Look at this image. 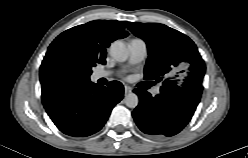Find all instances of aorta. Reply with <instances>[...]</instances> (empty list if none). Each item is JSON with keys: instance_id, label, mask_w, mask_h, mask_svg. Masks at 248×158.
<instances>
[{"instance_id": "aorta-1", "label": "aorta", "mask_w": 248, "mask_h": 158, "mask_svg": "<svg viewBox=\"0 0 248 158\" xmlns=\"http://www.w3.org/2000/svg\"><path fill=\"white\" fill-rule=\"evenodd\" d=\"M110 55L118 62H124L129 57V50L122 41H115L111 44ZM124 102L127 107L135 108L139 103V98L135 93H129L125 96Z\"/></svg>"}]
</instances>
